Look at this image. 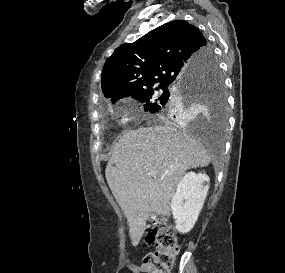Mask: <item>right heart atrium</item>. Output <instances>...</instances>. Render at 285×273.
<instances>
[{"label": "right heart atrium", "instance_id": "right-heart-atrium-1", "mask_svg": "<svg viewBox=\"0 0 285 273\" xmlns=\"http://www.w3.org/2000/svg\"><path fill=\"white\" fill-rule=\"evenodd\" d=\"M131 120V111L129 109H123L119 116V122L122 125H126Z\"/></svg>", "mask_w": 285, "mask_h": 273}]
</instances>
